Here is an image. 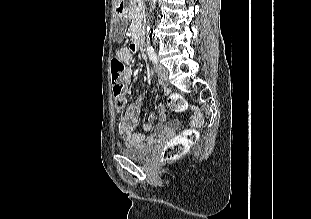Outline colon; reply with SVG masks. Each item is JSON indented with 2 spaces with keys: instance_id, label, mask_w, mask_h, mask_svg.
Segmentation results:
<instances>
[{
  "instance_id": "1",
  "label": "colon",
  "mask_w": 311,
  "mask_h": 219,
  "mask_svg": "<svg viewBox=\"0 0 311 219\" xmlns=\"http://www.w3.org/2000/svg\"><path fill=\"white\" fill-rule=\"evenodd\" d=\"M125 67L123 62L114 58L111 62V74L113 82V95L115 107L122 110L126 103V85L124 81ZM168 104L173 111L181 112L187 108L186 101L180 95H171L168 97ZM163 123V121H161ZM199 133L196 128L185 130L181 135L171 139L161 150V160L169 161L184 155L189 147L196 143Z\"/></svg>"
}]
</instances>
